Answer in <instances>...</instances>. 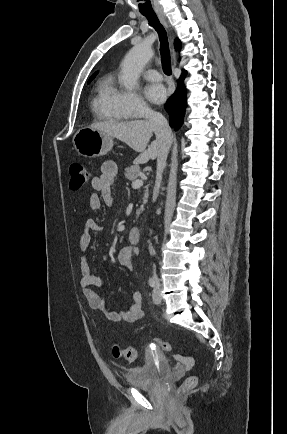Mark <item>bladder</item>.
I'll use <instances>...</instances> for the list:
<instances>
[{
	"label": "bladder",
	"instance_id": "bladder-1",
	"mask_svg": "<svg viewBox=\"0 0 287 434\" xmlns=\"http://www.w3.org/2000/svg\"><path fill=\"white\" fill-rule=\"evenodd\" d=\"M170 371V363L164 354L160 352L147 353L142 364L130 369L125 374V382L137 388L152 387L159 379L167 376Z\"/></svg>",
	"mask_w": 287,
	"mask_h": 434
}]
</instances>
